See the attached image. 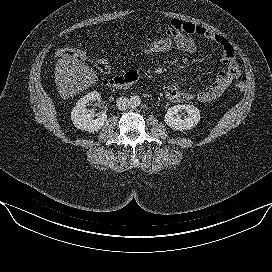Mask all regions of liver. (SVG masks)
<instances>
[{
	"label": "liver",
	"instance_id": "1",
	"mask_svg": "<svg viewBox=\"0 0 272 272\" xmlns=\"http://www.w3.org/2000/svg\"><path fill=\"white\" fill-rule=\"evenodd\" d=\"M55 66V83L64 100L92 86L98 79L90 66L70 56L59 59Z\"/></svg>",
	"mask_w": 272,
	"mask_h": 272
}]
</instances>
